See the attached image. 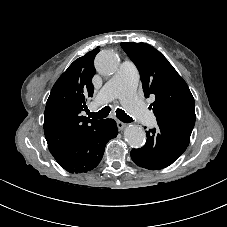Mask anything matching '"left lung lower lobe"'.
Returning <instances> with one entry per match:
<instances>
[{"instance_id": "0a47b994", "label": "left lung lower lobe", "mask_w": 227, "mask_h": 227, "mask_svg": "<svg viewBox=\"0 0 227 227\" xmlns=\"http://www.w3.org/2000/svg\"><path fill=\"white\" fill-rule=\"evenodd\" d=\"M147 141L142 148L131 151L132 160L140 167L158 170L171 165L186 150L190 135L173 127L158 123L146 131Z\"/></svg>"}]
</instances>
